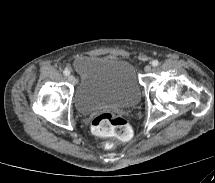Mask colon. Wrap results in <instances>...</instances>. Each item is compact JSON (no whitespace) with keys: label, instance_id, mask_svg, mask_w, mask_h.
<instances>
[{"label":"colon","instance_id":"colon-1","mask_svg":"<svg viewBox=\"0 0 215 183\" xmlns=\"http://www.w3.org/2000/svg\"><path fill=\"white\" fill-rule=\"evenodd\" d=\"M92 132L98 137H117L126 140L131 135L128 122L113 113L104 112L97 115L91 124Z\"/></svg>","mask_w":215,"mask_h":183}]
</instances>
